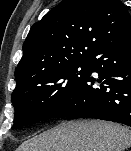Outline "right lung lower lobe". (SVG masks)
Here are the masks:
<instances>
[{
    "label": "right lung lower lobe",
    "instance_id": "98d812e1",
    "mask_svg": "<svg viewBox=\"0 0 131 151\" xmlns=\"http://www.w3.org/2000/svg\"><path fill=\"white\" fill-rule=\"evenodd\" d=\"M89 65L88 78L53 117L96 118L131 127V34L98 48ZM92 72L99 78H91Z\"/></svg>",
    "mask_w": 131,
    "mask_h": 151
}]
</instances>
